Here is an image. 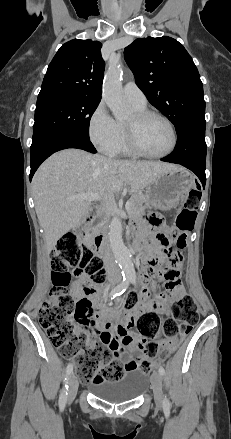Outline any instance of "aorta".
<instances>
[{"label": "aorta", "mask_w": 231, "mask_h": 439, "mask_svg": "<svg viewBox=\"0 0 231 439\" xmlns=\"http://www.w3.org/2000/svg\"><path fill=\"white\" fill-rule=\"evenodd\" d=\"M123 69L120 64L112 62L104 76L102 97L117 121L125 120L129 110L122 97ZM122 221L112 218L109 226V240L113 256L126 278L135 277V269L129 249L122 239Z\"/></svg>", "instance_id": "1"}]
</instances>
